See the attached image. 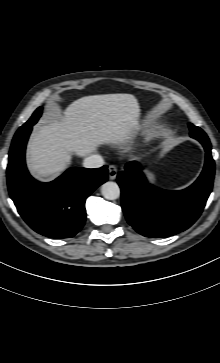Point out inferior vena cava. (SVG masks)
<instances>
[{"instance_id": "inferior-vena-cava-1", "label": "inferior vena cava", "mask_w": 220, "mask_h": 363, "mask_svg": "<svg viewBox=\"0 0 220 363\" xmlns=\"http://www.w3.org/2000/svg\"><path fill=\"white\" fill-rule=\"evenodd\" d=\"M103 165H104V160L102 156L98 154L88 156L83 161V166L85 168H99L102 167Z\"/></svg>"}]
</instances>
